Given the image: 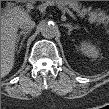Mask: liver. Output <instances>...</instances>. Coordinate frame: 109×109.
Returning a JSON list of instances; mask_svg holds the SVG:
<instances>
[{"label":"liver","instance_id":"6515ba94","mask_svg":"<svg viewBox=\"0 0 109 109\" xmlns=\"http://www.w3.org/2000/svg\"><path fill=\"white\" fill-rule=\"evenodd\" d=\"M26 13L2 15L1 18V76L12 70L15 62V45L18 25L21 21L30 19Z\"/></svg>","mask_w":109,"mask_h":109}]
</instances>
